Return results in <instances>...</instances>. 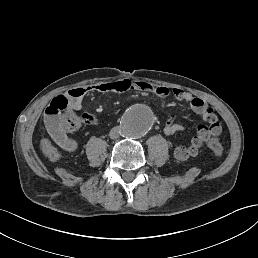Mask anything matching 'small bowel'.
Returning <instances> with one entry per match:
<instances>
[{
	"mask_svg": "<svg viewBox=\"0 0 258 258\" xmlns=\"http://www.w3.org/2000/svg\"><path fill=\"white\" fill-rule=\"evenodd\" d=\"M130 90L150 92L158 97L173 96L178 101L186 102L194 113L201 116L208 125L200 124L197 126V133L191 141L184 146H178L173 150L174 157L179 161L187 160L198 154L199 149L211 137L218 136L222 131V126L214 109L204 100L193 96L191 93L182 89H169L165 86H154L146 81H132L120 79L114 82H103L94 85L76 87L68 91L65 95L55 97L47 107L44 116L46 128L55 143L65 151L74 152L77 149V142L67 134L65 111L81 110L83 99L92 92L99 93H121ZM81 122L94 126L98 121L88 113H84ZM184 130V126L174 123V117L168 115L165 119L163 131L166 135H173Z\"/></svg>",
	"mask_w": 258,
	"mask_h": 258,
	"instance_id": "c3829d8e",
	"label": "small bowel"
}]
</instances>
